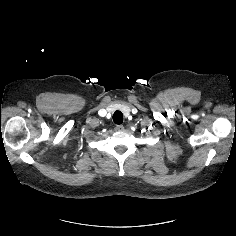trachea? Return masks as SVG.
<instances>
[{"mask_svg":"<svg viewBox=\"0 0 236 236\" xmlns=\"http://www.w3.org/2000/svg\"><path fill=\"white\" fill-rule=\"evenodd\" d=\"M113 121H114L116 124H122V122H123V114H122L120 111H116V112L113 114Z\"/></svg>","mask_w":236,"mask_h":236,"instance_id":"trachea-1","label":"trachea"}]
</instances>
